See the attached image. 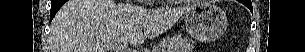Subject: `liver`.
<instances>
[{"label":"liver","mask_w":305,"mask_h":52,"mask_svg":"<svg viewBox=\"0 0 305 52\" xmlns=\"http://www.w3.org/2000/svg\"><path fill=\"white\" fill-rule=\"evenodd\" d=\"M191 7L146 10L113 0H69L51 23V52H107L109 43L141 44L170 29Z\"/></svg>","instance_id":"6515ba94"}]
</instances>
